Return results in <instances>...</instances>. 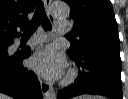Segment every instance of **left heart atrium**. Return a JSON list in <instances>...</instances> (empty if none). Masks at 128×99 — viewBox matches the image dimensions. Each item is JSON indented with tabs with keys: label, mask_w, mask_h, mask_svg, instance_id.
<instances>
[{
	"label": "left heart atrium",
	"mask_w": 128,
	"mask_h": 99,
	"mask_svg": "<svg viewBox=\"0 0 128 99\" xmlns=\"http://www.w3.org/2000/svg\"><path fill=\"white\" fill-rule=\"evenodd\" d=\"M30 67L47 79H57L65 70V58L54 48L48 47L37 51L29 60Z\"/></svg>",
	"instance_id": "1"
}]
</instances>
